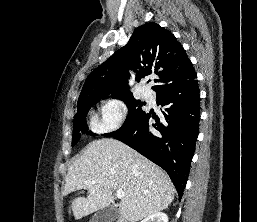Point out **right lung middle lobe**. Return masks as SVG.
<instances>
[{
    "label": "right lung middle lobe",
    "mask_w": 257,
    "mask_h": 222,
    "mask_svg": "<svg viewBox=\"0 0 257 222\" xmlns=\"http://www.w3.org/2000/svg\"><path fill=\"white\" fill-rule=\"evenodd\" d=\"M106 95L89 97L77 105V113L74 117V127H73V135H72V146H74L80 139L81 134L79 131L85 133L88 130L86 124V115L91 108L92 105L96 104L100 99L104 98ZM120 100H123L128 107V116L124 124L117 131L112 133L104 134L106 137H111L125 129L129 128L132 124H134L144 113L145 111L142 109L144 105L142 102L136 100L132 95H119L114 96ZM90 135H95L93 132H88Z\"/></svg>",
    "instance_id": "1"
}]
</instances>
